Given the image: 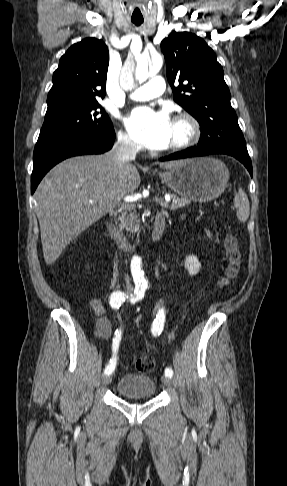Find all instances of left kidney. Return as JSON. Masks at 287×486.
Masks as SVG:
<instances>
[{
  "label": "left kidney",
  "instance_id": "obj_1",
  "mask_svg": "<svg viewBox=\"0 0 287 486\" xmlns=\"http://www.w3.org/2000/svg\"><path fill=\"white\" fill-rule=\"evenodd\" d=\"M184 265L190 275H196L201 268V263L198 261V258L194 255H190L186 257Z\"/></svg>",
  "mask_w": 287,
  "mask_h": 486
}]
</instances>
